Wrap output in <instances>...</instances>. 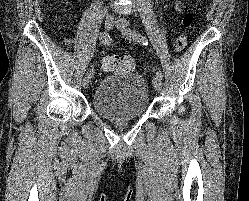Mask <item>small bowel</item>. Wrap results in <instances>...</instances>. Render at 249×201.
Returning <instances> with one entry per match:
<instances>
[{"instance_id": "small-bowel-1", "label": "small bowel", "mask_w": 249, "mask_h": 201, "mask_svg": "<svg viewBox=\"0 0 249 201\" xmlns=\"http://www.w3.org/2000/svg\"><path fill=\"white\" fill-rule=\"evenodd\" d=\"M175 8H176L177 11H181V9H182V4H181V1H180V0H178V1L176 2ZM105 59H106V58H105ZM105 59H104V60H105ZM103 68H104L105 70H107L104 66H103Z\"/></svg>"}]
</instances>
